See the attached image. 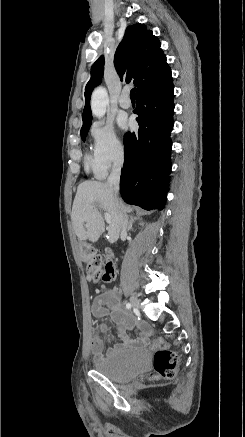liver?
I'll use <instances>...</instances> for the list:
<instances>
[{
	"instance_id": "6515ba94",
	"label": "liver",
	"mask_w": 245,
	"mask_h": 437,
	"mask_svg": "<svg viewBox=\"0 0 245 437\" xmlns=\"http://www.w3.org/2000/svg\"><path fill=\"white\" fill-rule=\"evenodd\" d=\"M97 204L110 215L108 236L114 243L119 238L123 218L132 208L114 195L108 182L86 181L78 186L71 213L75 234L79 240L94 243L104 233L105 223Z\"/></svg>"
}]
</instances>
